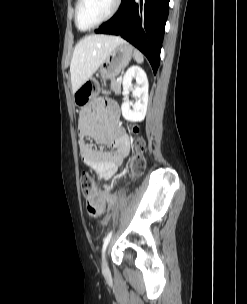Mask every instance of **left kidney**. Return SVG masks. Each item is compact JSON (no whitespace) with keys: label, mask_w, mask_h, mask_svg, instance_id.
I'll use <instances>...</instances> for the list:
<instances>
[{"label":"left kidney","mask_w":247,"mask_h":304,"mask_svg":"<svg viewBox=\"0 0 247 304\" xmlns=\"http://www.w3.org/2000/svg\"><path fill=\"white\" fill-rule=\"evenodd\" d=\"M136 79L137 85L133 90V95L137 98L134 104L133 110L130 109L131 103L127 99V93L130 87H132V80ZM148 79L145 71L138 67H130L123 77V95L126 96V100L121 106L123 117L131 122L143 121L146 115L148 104Z\"/></svg>","instance_id":"obj_1"}]
</instances>
